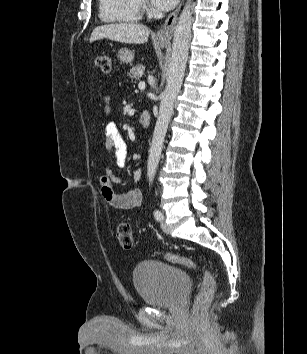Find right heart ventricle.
<instances>
[{
	"label": "right heart ventricle",
	"mask_w": 307,
	"mask_h": 354,
	"mask_svg": "<svg viewBox=\"0 0 307 354\" xmlns=\"http://www.w3.org/2000/svg\"><path fill=\"white\" fill-rule=\"evenodd\" d=\"M99 17L104 22H137L141 18L139 0H99Z\"/></svg>",
	"instance_id": "e07e8e85"
}]
</instances>
